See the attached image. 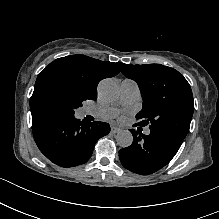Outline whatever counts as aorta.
Wrapping results in <instances>:
<instances>
[{
    "instance_id": "762f6f07",
    "label": "aorta",
    "mask_w": 219,
    "mask_h": 219,
    "mask_svg": "<svg viewBox=\"0 0 219 219\" xmlns=\"http://www.w3.org/2000/svg\"><path fill=\"white\" fill-rule=\"evenodd\" d=\"M99 97L104 102H114L119 97V88L117 83L112 79H104L98 86ZM117 144L126 148L129 147L133 142L132 133L128 130L119 131L116 135Z\"/></svg>"
}]
</instances>
